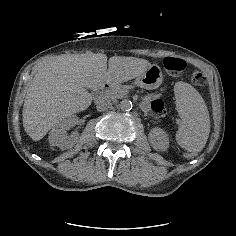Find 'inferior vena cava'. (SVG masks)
<instances>
[{
  "label": "inferior vena cava",
  "instance_id": "1",
  "mask_svg": "<svg viewBox=\"0 0 236 236\" xmlns=\"http://www.w3.org/2000/svg\"><path fill=\"white\" fill-rule=\"evenodd\" d=\"M111 106L112 104L110 102L100 101L97 103L96 108H97V111L102 112V111L108 110Z\"/></svg>",
  "mask_w": 236,
  "mask_h": 236
}]
</instances>
